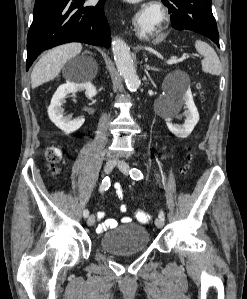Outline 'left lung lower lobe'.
Here are the masks:
<instances>
[{"instance_id": "left-lung-lower-lobe-1", "label": "left lung lower lobe", "mask_w": 247, "mask_h": 299, "mask_svg": "<svg viewBox=\"0 0 247 299\" xmlns=\"http://www.w3.org/2000/svg\"><path fill=\"white\" fill-rule=\"evenodd\" d=\"M162 2L171 14L174 29L198 32L220 47L211 0H162Z\"/></svg>"}]
</instances>
